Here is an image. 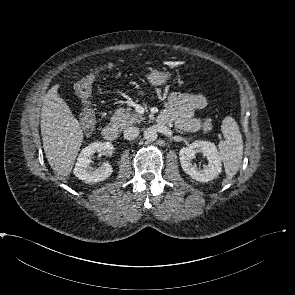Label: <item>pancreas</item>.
Masks as SVG:
<instances>
[{"instance_id": "cf45deb5", "label": "pancreas", "mask_w": 295, "mask_h": 295, "mask_svg": "<svg viewBox=\"0 0 295 295\" xmlns=\"http://www.w3.org/2000/svg\"><path fill=\"white\" fill-rule=\"evenodd\" d=\"M144 118L136 113H132L130 108H119L111 118V124L118 128H125L136 123H140ZM202 130L207 132L211 129V119L207 118L202 124Z\"/></svg>"}]
</instances>
